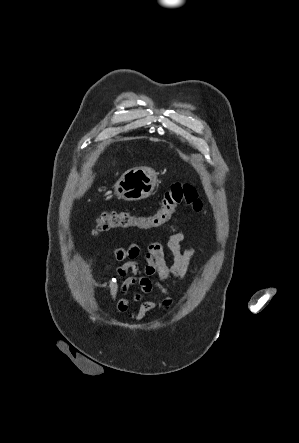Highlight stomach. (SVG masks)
Listing matches in <instances>:
<instances>
[{
	"instance_id": "obj_1",
	"label": "stomach",
	"mask_w": 299,
	"mask_h": 443,
	"mask_svg": "<svg viewBox=\"0 0 299 443\" xmlns=\"http://www.w3.org/2000/svg\"><path fill=\"white\" fill-rule=\"evenodd\" d=\"M157 182L156 173L152 169L136 167L121 175L114 185V190L120 199L138 201L150 196Z\"/></svg>"
}]
</instances>
